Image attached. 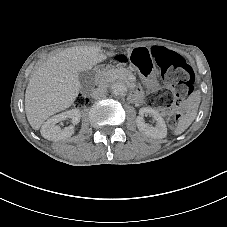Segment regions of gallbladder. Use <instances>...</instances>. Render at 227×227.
<instances>
[{
	"mask_svg": "<svg viewBox=\"0 0 227 227\" xmlns=\"http://www.w3.org/2000/svg\"><path fill=\"white\" fill-rule=\"evenodd\" d=\"M95 71L93 69L81 72L79 74V81L83 89L89 88L94 84Z\"/></svg>",
	"mask_w": 227,
	"mask_h": 227,
	"instance_id": "bac80fb5",
	"label": "gallbladder"
}]
</instances>
